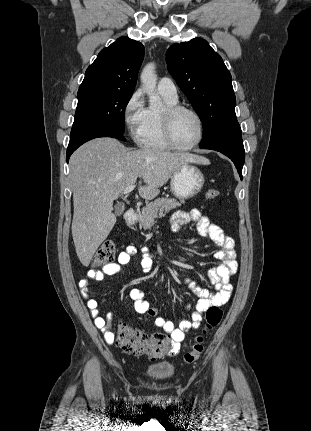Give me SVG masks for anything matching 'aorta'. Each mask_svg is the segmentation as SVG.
Returning <instances> with one entry per match:
<instances>
[{"instance_id":"1","label":"aorta","mask_w":311,"mask_h":431,"mask_svg":"<svg viewBox=\"0 0 311 431\" xmlns=\"http://www.w3.org/2000/svg\"><path fill=\"white\" fill-rule=\"evenodd\" d=\"M155 70V64H147L140 76L143 90L149 96V108H161L162 106L161 98L156 94L157 76Z\"/></svg>"}]
</instances>
